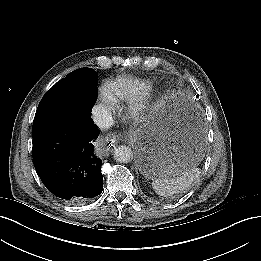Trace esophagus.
<instances>
[{"label": "esophagus", "mask_w": 261, "mask_h": 261, "mask_svg": "<svg viewBox=\"0 0 261 261\" xmlns=\"http://www.w3.org/2000/svg\"><path fill=\"white\" fill-rule=\"evenodd\" d=\"M118 140H119V137L116 135L110 139H106V141H107V143H109V145H107L105 152H103L104 156H108L111 153V151H112L111 146L115 147V143H117Z\"/></svg>", "instance_id": "obj_1"}]
</instances>
